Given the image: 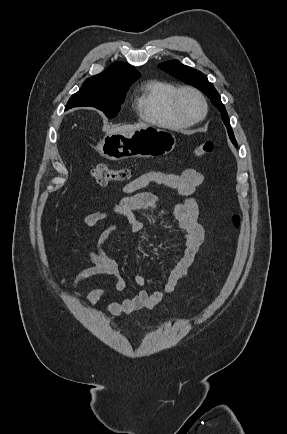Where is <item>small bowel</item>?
Returning <instances> with one entry per match:
<instances>
[{"instance_id": "1", "label": "small bowel", "mask_w": 287, "mask_h": 434, "mask_svg": "<svg viewBox=\"0 0 287 434\" xmlns=\"http://www.w3.org/2000/svg\"><path fill=\"white\" fill-rule=\"evenodd\" d=\"M203 175L195 169L187 168L180 174H168L161 171H150L144 173L123 187L124 197L113 207L112 212L125 217L128 223L124 226H112L104 231L99 239L100 250L98 253L86 248L83 255L89 265L81 266L74 277L71 286L74 295L93 306L99 301H105L107 310L113 316L130 314L142 309H153L160 304L166 296L172 294L177 285L181 282L188 271L196 253L201 247L205 231L198 222L199 208L194 197L196 189L203 183ZM150 184H158L177 190L184 198L180 203L162 204L158 197L152 193L142 192L141 189ZM137 210H150L161 217H169L175 220L176 228L182 233L179 244L174 249L176 261L173 268L164 279V289L148 293L140 290L136 294L124 299L121 302L110 300L103 290H93L87 294L78 291L82 280L99 275H108L112 278L116 290H123L126 287L125 280L120 272L119 263L110 257L104 250L106 242L117 232L123 231L129 235L141 232L145 223L136 218L133 214ZM109 214L107 210H100L89 213L83 219L86 227H93L97 222L105 219ZM161 255L162 252H156ZM134 283L143 287L146 279L140 274L133 278ZM63 285L67 284L64 277H61ZM113 318H108L111 321Z\"/></svg>"}]
</instances>
